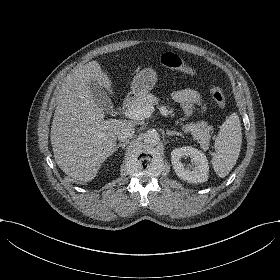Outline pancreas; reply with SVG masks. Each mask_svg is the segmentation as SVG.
<instances>
[{
  "mask_svg": "<svg viewBox=\"0 0 280 280\" xmlns=\"http://www.w3.org/2000/svg\"><path fill=\"white\" fill-rule=\"evenodd\" d=\"M159 99L153 94H147L144 97H139L132 102L134 108H144L148 105L154 106L158 104ZM182 130L185 133H191L194 140L200 144V147L207 151L209 149L211 135L210 132L213 130V126H208L207 122L201 121L198 123H190L182 126Z\"/></svg>",
  "mask_w": 280,
  "mask_h": 280,
  "instance_id": "cf45deb5",
  "label": "pancreas"
}]
</instances>
